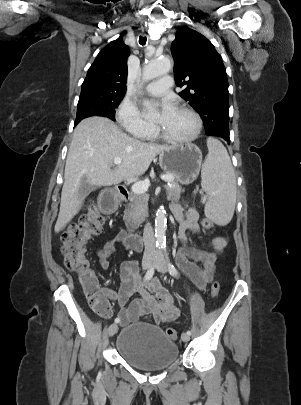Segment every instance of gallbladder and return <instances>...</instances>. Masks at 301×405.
I'll list each match as a JSON object with an SVG mask.
<instances>
[{"mask_svg": "<svg viewBox=\"0 0 301 405\" xmlns=\"http://www.w3.org/2000/svg\"><path fill=\"white\" fill-rule=\"evenodd\" d=\"M95 188L96 186L89 185L86 181H83L79 188V199L84 200Z\"/></svg>", "mask_w": 301, "mask_h": 405, "instance_id": "1", "label": "gallbladder"}]
</instances>
